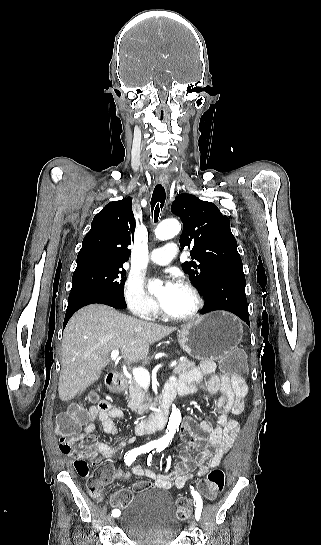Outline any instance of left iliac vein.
<instances>
[{
  "label": "left iliac vein",
  "mask_w": 321,
  "mask_h": 545,
  "mask_svg": "<svg viewBox=\"0 0 321 545\" xmlns=\"http://www.w3.org/2000/svg\"><path fill=\"white\" fill-rule=\"evenodd\" d=\"M189 526L191 529H194V527L196 526V518L194 517V515H192L189 519Z\"/></svg>",
  "instance_id": "left-iliac-vein-1"
}]
</instances>
